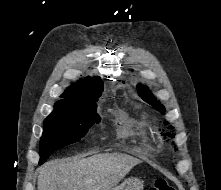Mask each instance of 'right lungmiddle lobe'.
Returning <instances> with one entry per match:
<instances>
[{
    "label": "right lung middle lobe",
    "mask_w": 221,
    "mask_h": 190,
    "mask_svg": "<svg viewBox=\"0 0 221 190\" xmlns=\"http://www.w3.org/2000/svg\"><path fill=\"white\" fill-rule=\"evenodd\" d=\"M97 100L89 101L64 110H53L44 121L40 140V162L61 147L75 143L86 135L94 122H98Z\"/></svg>",
    "instance_id": "right-lung-middle-lobe-1"
}]
</instances>
